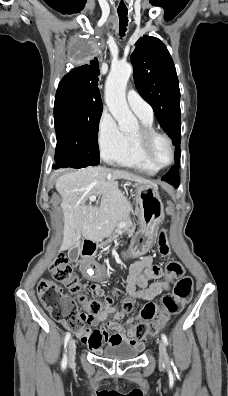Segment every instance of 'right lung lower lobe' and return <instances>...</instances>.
Masks as SVG:
<instances>
[{
	"instance_id": "obj_1",
	"label": "right lung lower lobe",
	"mask_w": 228,
	"mask_h": 396,
	"mask_svg": "<svg viewBox=\"0 0 228 396\" xmlns=\"http://www.w3.org/2000/svg\"><path fill=\"white\" fill-rule=\"evenodd\" d=\"M53 168L58 169V168H60V166L54 165Z\"/></svg>"
}]
</instances>
